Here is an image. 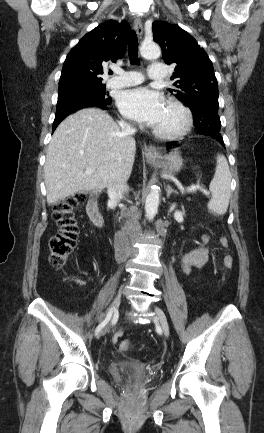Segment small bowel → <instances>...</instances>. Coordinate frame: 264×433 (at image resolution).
I'll return each instance as SVG.
<instances>
[{
  "mask_svg": "<svg viewBox=\"0 0 264 433\" xmlns=\"http://www.w3.org/2000/svg\"><path fill=\"white\" fill-rule=\"evenodd\" d=\"M207 243L208 237L204 235L201 246L189 251L182 257L181 267L184 273H189L193 267H202L207 262ZM118 336H120V333L113 338V342H116Z\"/></svg>",
  "mask_w": 264,
  "mask_h": 433,
  "instance_id": "1",
  "label": "small bowel"
}]
</instances>
